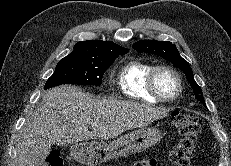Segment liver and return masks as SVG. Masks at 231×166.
<instances>
[{"label": "liver", "instance_id": "6515ba94", "mask_svg": "<svg viewBox=\"0 0 231 166\" xmlns=\"http://www.w3.org/2000/svg\"><path fill=\"white\" fill-rule=\"evenodd\" d=\"M168 110L133 101L93 99L76 86L48 90L17 142L18 166H42L53 144L113 139L126 130L151 124ZM93 131L88 130V126Z\"/></svg>", "mask_w": 231, "mask_h": 166}]
</instances>
